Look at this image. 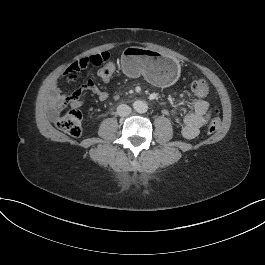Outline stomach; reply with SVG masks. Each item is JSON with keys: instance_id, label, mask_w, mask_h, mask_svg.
Masks as SVG:
<instances>
[{"instance_id": "stomach-1", "label": "stomach", "mask_w": 265, "mask_h": 265, "mask_svg": "<svg viewBox=\"0 0 265 265\" xmlns=\"http://www.w3.org/2000/svg\"><path fill=\"white\" fill-rule=\"evenodd\" d=\"M123 72L129 77L143 75L148 81L161 87L173 85L179 78L178 61L156 50L131 46L121 55Z\"/></svg>"}]
</instances>
